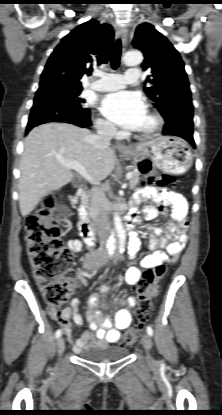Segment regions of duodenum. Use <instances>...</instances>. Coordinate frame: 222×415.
Segmentation results:
<instances>
[{"mask_svg": "<svg viewBox=\"0 0 222 415\" xmlns=\"http://www.w3.org/2000/svg\"><path fill=\"white\" fill-rule=\"evenodd\" d=\"M78 190L82 193V197H83L81 200L80 208H79V214L81 217L79 228L86 242L91 244L92 242H94L95 234H94V230L89 220V208L87 204L88 196L83 186H80ZM133 223H134V219L130 216L124 220V225L127 229H130L133 226ZM114 244H115L114 238L110 237L108 239L109 247L113 248Z\"/></svg>", "mask_w": 222, "mask_h": 415, "instance_id": "1", "label": "duodenum"}]
</instances>
